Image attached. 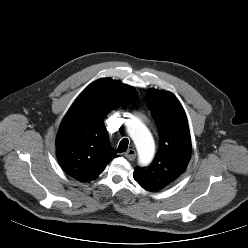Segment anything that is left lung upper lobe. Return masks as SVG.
I'll return each mask as SVG.
<instances>
[{"instance_id": "left-lung-upper-lobe-1", "label": "left lung upper lobe", "mask_w": 248, "mask_h": 248, "mask_svg": "<svg viewBox=\"0 0 248 248\" xmlns=\"http://www.w3.org/2000/svg\"><path fill=\"white\" fill-rule=\"evenodd\" d=\"M147 104L156 122L160 147L153 162L133 173L138 184L148 191H158L177 180L191 158V138L187 117L178 99L168 91L152 89Z\"/></svg>"}]
</instances>
